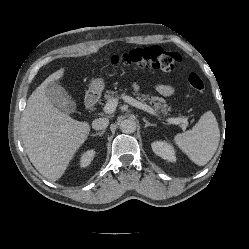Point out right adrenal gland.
<instances>
[{
	"label": "right adrenal gland",
	"mask_w": 249,
	"mask_h": 249,
	"mask_svg": "<svg viewBox=\"0 0 249 249\" xmlns=\"http://www.w3.org/2000/svg\"><path fill=\"white\" fill-rule=\"evenodd\" d=\"M104 133H105V130H103V131H101V132H97V133H95V134H92L91 136H97V135L102 136Z\"/></svg>",
	"instance_id": "2a0ac1e0"
}]
</instances>
